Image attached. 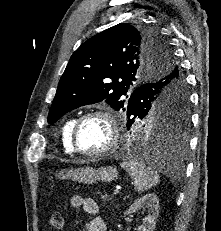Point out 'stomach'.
Here are the masks:
<instances>
[{
	"label": "stomach",
	"instance_id": "0dacf381",
	"mask_svg": "<svg viewBox=\"0 0 221 231\" xmlns=\"http://www.w3.org/2000/svg\"><path fill=\"white\" fill-rule=\"evenodd\" d=\"M158 159V157H157ZM59 179H71L84 184H93L97 181L111 182L118 177V171L113 167H92L62 170L57 174Z\"/></svg>",
	"mask_w": 221,
	"mask_h": 231
}]
</instances>
